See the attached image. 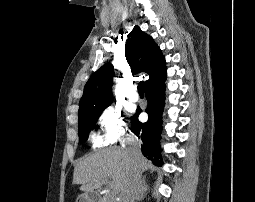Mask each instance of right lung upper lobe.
Listing matches in <instances>:
<instances>
[{"label":"right lung upper lobe","mask_w":255,"mask_h":202,"mask_svg":"<svg viewBox=\"0 0 255 202\" xmlns=\"http://www.w3.org/2000/svg\"><path fill=\"white\" fill-rule=\"evenodd\" d=\"M125 55L132 72L149 74V79L145 81V89L166 80L165 58L152 37L141 31L139 26H135L128 34ZM113 75V65L106 63L89 78L80 100L79 114L105 108L112 103Z\"/></svg>","instance_id":"cb5924a9"}]
</instances>
